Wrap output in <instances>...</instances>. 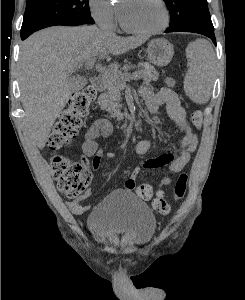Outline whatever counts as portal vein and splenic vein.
Wrapping results in <instances>:
<instances>
[{"label": "portal vein and splenic vein", "mask_w": 245, "mask_h": 300, "mask_svg": "<svg viewBox=\"0 0 245 300\" xmlns=\"http://www.w3.org/2000/svg\"><path fill=\"white\" fill-rule=\"evenodd\" d=\"M94 64H95V61L92 60V61L86 62L85 66H86L87 69H91V68L94 67ZM97 70L99 72H104V73L107 72V70H104L103 68H97ZM127 79H139V73L138 72H134L132 74H128Z\"/></svg>", "instance_id": "portal-vein-and-splenic-vein-1"}]
</instances>
